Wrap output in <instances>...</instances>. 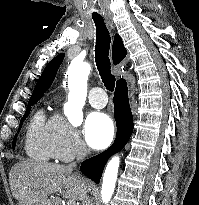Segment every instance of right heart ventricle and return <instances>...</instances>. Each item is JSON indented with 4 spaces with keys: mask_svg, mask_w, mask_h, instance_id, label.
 Listing matches in <instances>:
<instances>
[{
    "mask_svg": "<svg viewBox=\"0 0 199 205\" xmlns=\"http://www.w3.org/2000/svg\"><path fill=\"white\" fill-rule=\"evenodd\" d=\"M51 119L47 120L43 111L33 116L25 137L26 154L38 161L53 158V135Z\"/></svg>",
    "mask_w": 199,
    "mask_h": 205,
    "instance_id": "right-heart-ventricle-1",
    "label": "right heart ventricle"
}]
</instances>
